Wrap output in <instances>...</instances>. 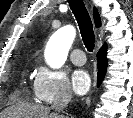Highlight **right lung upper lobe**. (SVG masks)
Returning a JSON list of instances; mask_svg holds the SVG:
<instances>
[{
  "label": "right lung upper lobe",
  "mask_w": 133,
  "mask_h": 118,
  "mask_svg": "<svg viewBox=\"0 0 133 118\" xmlns=\"http://www.w3.org/2000/svg\"><path fill=\"white\" fill-rule=\"evenodd\" d=\"M93 16H94V22H95L96 27H100L101 20H100V16L96 8L93 9Z\"/></svg>",
  "instance_id": "obj_1"
}]
</instances>
